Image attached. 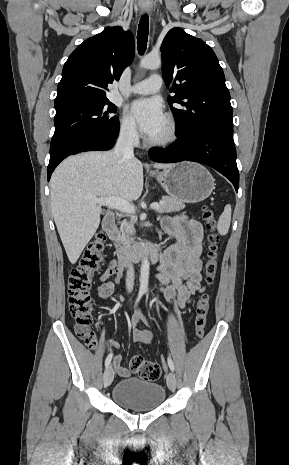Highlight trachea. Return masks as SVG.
<instances>
[{
    "label": "trachea",
    "mask_w": 289,
    "mask_h": 465,
    "mask_svg": "<svg viewBox=\"0 0 289 465\" xmlns=\"http://www.w3.org/2000/svg\"><path fill=\"white\" fill-rule=\"evenodd\" d=\"M148 33H149V18L147 14L143 15L140 19L138 32H137V49L140 55L144 54L147 41H148Z\"/></svg>",
    "instance_id": "obj_1"
}]
</instances>
